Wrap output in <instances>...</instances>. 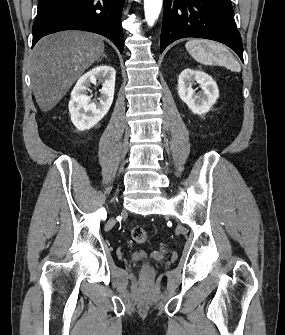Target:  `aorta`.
<instances>
[{
    "instance_id": "1",
    "label": "aorta",
    "mask_w": 285,
    "mask_h": 335,
    "mask_svg": "<svg viewBox=\"0 0 285 335\" xmlns=\"http://www.w3.org/2000/svg\"><path fill=\"white\" fill-rule=\"evenodd\" d=\"M163 0H144L145 20L148 26H154L161 12Z\"/></svg>"
}]
</instances>
